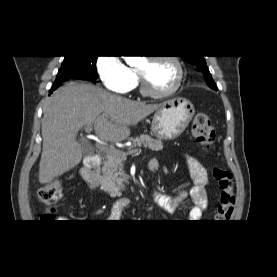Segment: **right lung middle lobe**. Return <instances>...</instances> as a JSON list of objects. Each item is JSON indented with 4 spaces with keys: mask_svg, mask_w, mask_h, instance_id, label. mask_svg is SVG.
I'll return each instance as SVG.
<instances>
[{
    "mask_svg": "<svg viewBox=\"0 0 277 277\" xmlns=\"http://www.w3.org/2000/svg\"><path fill=\"white\" fill-rule=\"evenodd\" d=\"M97 57L98 56H64V60L62 62L58 74L75 73L83 77H86L91 81H95L97 76Z\"/></svg>",
    "mask_w": 277,
    "mask_h": 277,
    "instance_id": "obj_1",
    "label": "right lung middle lobe"
}]
</instances>
